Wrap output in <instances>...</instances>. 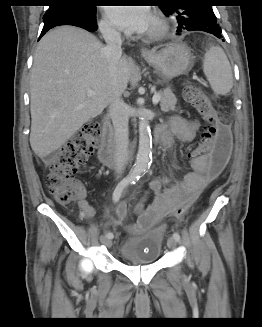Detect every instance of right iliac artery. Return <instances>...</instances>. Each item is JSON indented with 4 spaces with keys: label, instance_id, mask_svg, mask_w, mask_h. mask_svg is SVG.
I'll use <instances>...</instances> for the list:
<instances>
[{
    "label": "right iliac artery",
    "instance_id": "right-iliac-artery-1",
    "mask_svg": "<svg viewBox=\"0 0 262 327\" xmlns=\"http://www.w3.org/2000/svg\"><path fill=\"white\" fill-rule=\"evenodd\" d=\"M135 179L134 178H131V177H125L123 180H121L118 185L116 186L114 192H113V201L114 203H117L119 201V199L121 198V195L124 191V189L130 184V183H133ZM106 236L110 239L113 238V233L111 232H108L106 234Z\"/></svg>",
    "mask_w": 262,
    "mask_h": 327
}]
</instances>
